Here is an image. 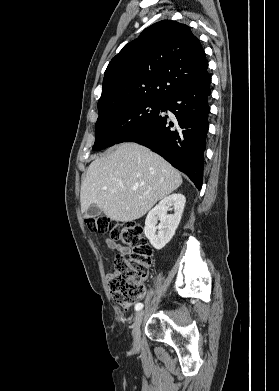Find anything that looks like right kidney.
<instances>
[{"instance_id":"obj_1","label":"right kidney","mask_w":279,"mask_h":391,"mask_svg":"<svg viewBox=\"0 0 279 391\" xmlns=\"http://www.w3.org/2000/svg\"><path fill=\"white\" fill-rule=\"evenodd\" d=\"M185 202L186 198L183 194L174 193L163 198L149 211L145 220L144 233L155 249H162L174 236L182 217ZM171 207L174 213L167 214Z\"/></svg>"}]
</instances>
